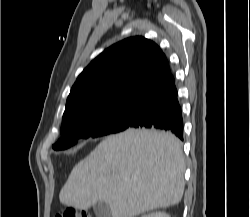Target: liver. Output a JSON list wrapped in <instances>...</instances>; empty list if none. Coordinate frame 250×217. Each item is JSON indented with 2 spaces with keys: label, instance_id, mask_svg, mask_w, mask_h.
I'll use <instances>...</instances> for the list:
<instances>
[{
  "label": "liver",
  "instance_id": "6515ba94",
  "mask_svg": "<svg viewBox=\"0 0 250 217\" xmlns=\"http://www.w3.org/2000/svg\"><path fill=\"white\" fill-rule=\"evenodd\" d=\"M182 143L171 133L128 129L111 135L76 164L59 194L66 206L109 205L112 217L178 204L184 192Z\"/></svg>",
  "mask_w": 250,
  "mask_h": 217
}]
</instances>
